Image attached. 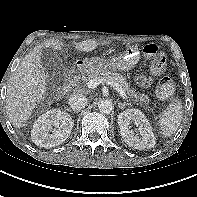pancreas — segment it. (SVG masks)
I'll use <instances>...</instances> for the list:
<instances>
[{
  "label": "pancreas",
  "mask_w": 197,
  "mask_h": 197,
  "mask_svg": "<svg viewBox=\"0 0 197 197\" xmlns=\"http://www.w3.org/2000/svg\"><path fill=\"white\" fill-rule=\"evenodd\" d=\"M92 79H100L103 81H111L113 83L119 84L123 90L128 94L129 97L135 98L136 101L148 102L149 97L144 93H136L134 89L130 88L129 83L126 78L119 73H113L109 70L88 72L86 76L82 77V81L88 82Z\"/></svg>",
  "instance_id": "1"
}]
</instances>
